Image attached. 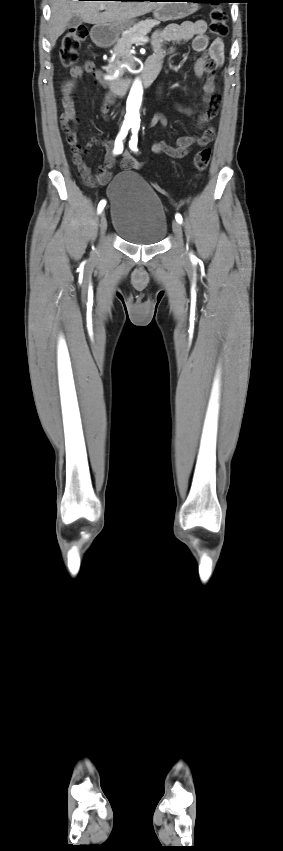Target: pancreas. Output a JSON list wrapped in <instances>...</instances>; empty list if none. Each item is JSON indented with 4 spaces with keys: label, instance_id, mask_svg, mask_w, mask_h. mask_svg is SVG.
Masks as SVG:
<instances>
[{
    "label": "pancreas",
    "instance_id": "1",
    "mask_svg": "<svg viewBox=\"0 0 283 851\" xmlns=\"http://www.w3.org/2000/svg\"><path fill=\"white\" fill-rule=\"evenodd\" d=\"M158 24L159 22L155 20L141 21L138 24H135L127 33L123 34L113 48L116 58L109 64L107 73L113 74L118 70L119 77L122 76L125 69L121 68V65L126 61L131 45L134 43H144L137 41V39L147 37V34L151 31V29Z\"/></svg>",
    "mask_w": 283,
    "mask_h": 851
}]
</instances>
